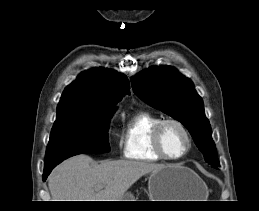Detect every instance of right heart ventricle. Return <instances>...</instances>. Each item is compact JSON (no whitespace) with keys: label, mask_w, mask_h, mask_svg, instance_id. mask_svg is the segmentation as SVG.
Returning <instances> with one entry per match:
<instances>
[{"label":"right heart ventricle","mask_w":259,"mask_h":211,"mask_svg":"<svg viewBox=\"0 0 259 211\" xmlns=\"http://www.w3.org/2000/svg\"><path fill=\"white\" fill-rule=\"evenodd\" d=\"M162 118L147 110H138L122 128L123 155L137 161H160L163 158L153 147V130Z\"/></svg>","instance_id":"e07e8e85"}]
</instances>
